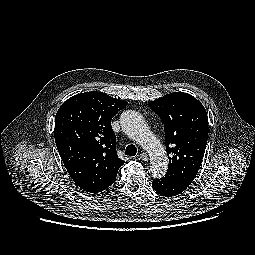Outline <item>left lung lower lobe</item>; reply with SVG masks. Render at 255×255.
I'll return each mask as SVG.
<instances>
[{"instance_id":"1","label":"left lung lower lobe","mask_w":255,"mask_h":255,"mask_svg":"<svg viewBox=\"0 0 255 255\" xmlns=\"http://www.w3.org/2000/svg\"><path fill=\"white\" fill-rule=\"evenodd\" d=\"M189 185L176 182L167 177L153 180L152 187L160 195L166 197L177 196L182 193Z\"/></svg>"}]
</instances>
